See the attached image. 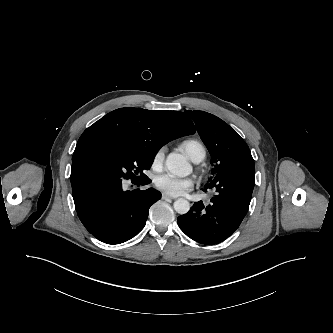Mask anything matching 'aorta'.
<instances>
[{"label":"aorta","instance_id":"obj_1","mask_svg":"<svg viewBox=\"0 0 333 333\" xmlns=\"http://www.w3.org/2000/svg\"><path fill=\"white\" fill-rule=\"evenodd\" d=\"M167 170L177 177H186L191 173L192 167L185 157L179 153L172 152L167 156L165 162ZM190 209V204L186 199L179 198L174 202V210L178 214H186Z\"/></svg>","mask_w":333,"mask_h":333}]
</instances>
